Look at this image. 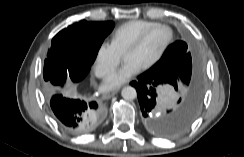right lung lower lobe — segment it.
I'll list each match as a JSON object with an SVG mask.
<instances>
[{
  "label": "right lung lower lobe",
  "instance_id": "right-lung-lower-lobe-1",
  "mask_svg": "<svg viewBox=\"0 0 244 157\" xmlns=\"http://www.w3.org/2000/svg\"><path fill=\"white\" fill-rule=\"evenodd\" d=\"M50 106L59 124L73 134L93 130L103 116V107L96 101L70 99L62 94L53 95Z\"/></svg>",
  "mask_w": 244,
  "mask_h": 157
}]
</instances>
